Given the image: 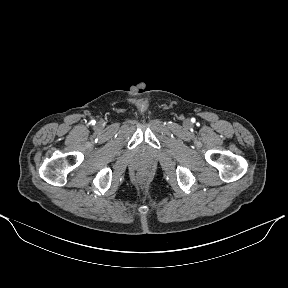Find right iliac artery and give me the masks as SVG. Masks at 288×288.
<instances>
[{
  "mask_svg": "<svg viewBox=\"0 0 288 288\" xmlns=\"http://www.w3.org/2000/svg\"><path fill=\"white\" fill-rule=\"evenodd\" d=\"M91 124L94 125V124H95V120H92V121H91Z\"/></svg>",
  "mask_w": 288,
  "mask_h": 288,
  "instance_id": "obj_1",
  "label": "right iliac artery"
}]
</instances>
